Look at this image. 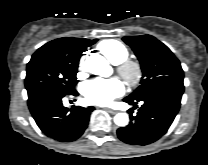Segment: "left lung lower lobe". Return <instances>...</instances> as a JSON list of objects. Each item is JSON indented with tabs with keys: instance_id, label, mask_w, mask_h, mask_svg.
Returning a JSON list of instances; mask_svg holds the SVG:
<instances>
[{
	"instance_id": "1",
	"label": "left lung lower lobe",
	"mask_w": 208,
	"mask_h": 165,
	"mask_svg": "<svg viewBox=\"0 0 208 165\" xmlns=\"http://www.w3.org/2000/svg\"><path fill=\"white\" fill-rule=\"evenodd\" d=\"M184 86L168 85L156 88L138 99L125 98L124 101L136 106L143 105L133 115V109L128 110L130 123L117 130L119 139L127 144L147 145L163 136L177 115Z\"/></svg>"
}]
</instances>
